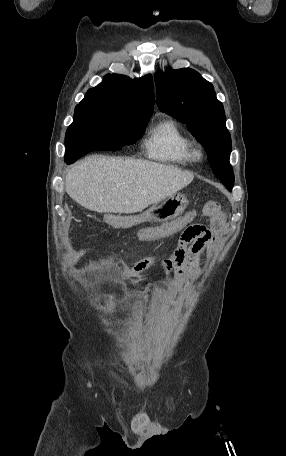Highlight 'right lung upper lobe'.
<instances>
[{
  "label": "right lung upper lobe",
  "instance_id": "1",
  "mask_svg": "<svg viewBox=\"0 0 286 456\" xmlns=\"http://www.w3.org/2000/svg\"><path fill=\"white\" fill-rule=\"evenodd\" d=\"M155 99L151 75L131 79L108 74L97 87L87 91L77 106L105 108L137 116H151Z\"/></svg>",
  "mask_w": 286,
  "mask_h": 456
}]
</instances>
